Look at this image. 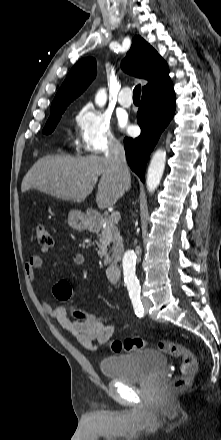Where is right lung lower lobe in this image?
Masks as SVG:
<instances>
[{
    "instance_id": "right-lung-lower-lobe-1",
    "label": "right lung lower lobe",
    "mask_w": 221,
    "mask_h": 440,
    "mask_svg": "<svg viewBox=\"0 0 221 440\" xmlns=\"http://www.w3.org/2000/svg\"><path fill=\"white\" fill-rule=\"evenodd\" d=\"M174 111L175 93L171 81L156 90L143 93L137 113L141 135L124 139L127 162L143 182L150 153L172 119Z\"/></svg>"
}]
</instances>
